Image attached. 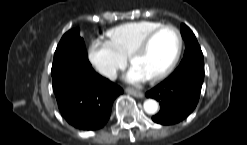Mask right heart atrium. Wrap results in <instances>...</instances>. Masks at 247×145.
I'll return each mask as SVG.
<instances>
[{"instance_id": "obj_1", "label": "right heart atrium", "mask_w": 247, "mask_h": 145, "mask_svg": "<svg viewBox=\"0 0 247 145\" xmlns=\"http://www.w3.org/2000/svg\"><path fill=\"white\" fill-rule=\"evenodd\" d=\"M92 65L104 76L113 77L126 63V58L114 45L101 38L94 39L88 49Z\"/></svg>"}]
</instances>
